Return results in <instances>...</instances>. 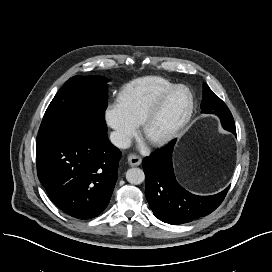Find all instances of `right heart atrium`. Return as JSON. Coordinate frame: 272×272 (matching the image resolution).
Returning a JSON list of instances; mask_svg holds the SVG:
<instances>
[{
    "label": "right heart atrium",
    "mask_w": 272,
    "mask_h": 272,
    "mask_svg": "<svg viewBox=\"0 0 272 272\" xmlns=\"http://www.w3.org/2000/svg\"><path fill=\"white\" fill-rule=\"evenodd\" d=\"M104 120L112 129L111 138L116 146H125L136 133V125L129 120L118 102L106 107Z\"/></svg>",
    "instance_id": "d8ad5b80"
}]
</instances>
